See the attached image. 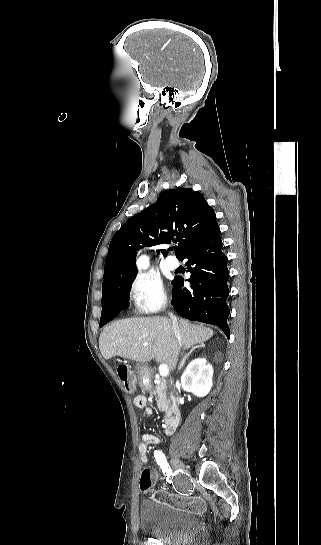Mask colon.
I'll use <instances>...</instances> for the list:
<instances>
[{"label":"colon","mask_w":321,"mask_h":545,"mask_svg":"<svg viewBox=\"0 0 321 545\" xmlns=\"http://www.w3.org/2000/svg\"><path fill=\"white\" fill-rule=\"evenodd\" d=\"M117 373L128 391L135 388V380L132 372L126 366H119ZM154 476L152 470L144 469L140 476V489L143 492H152L154 497L161 503L187 510L195 513H202L205 510V504L202 499L196 496L186 494H175L166 491H156L153 489Z\"/></svg>","instance_id":"colon-1"}]
</instances>
